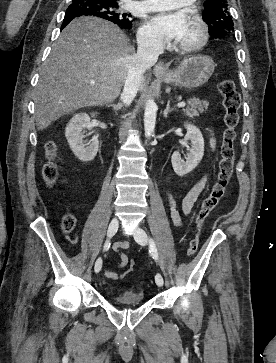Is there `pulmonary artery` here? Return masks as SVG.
<instances>
[{
	"label": "pulmonary artery",
	"mask_w": 276,
	"mask_h": 363,
	"mask_svg": "<svg viewBox=\"0 0 276 363\" xmlns=\"http://www.w3.org/2000/svg\"><path fill=\"white\" fill-rule=\"evenodd\" d=\"M194 0H144L141 2H134L140 11H160L172 10L179 7L188 5Z\"/></svg>",
	"instance_id": "1"
}]
</instances>
